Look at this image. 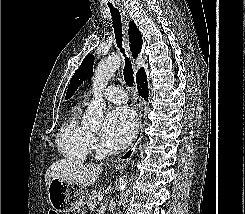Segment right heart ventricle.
<instances>
[{
  "mask_svg": "<svg viewBox=\"0 0 245 214\" xmlns=\"http://www.w3.org/2000/svg\"><path fill=\"white\" fill-rule=\"evenodd\" d=\"M80 113L81 105L75 106L56 138L57 147L63 157L74 162H83L90 148V134L79 121Z\"/></svg>",
  "mask_w": 245,
  "mask_h": 214,
  "instance_id": "1",
  "label": "right heart ventricle"
}]
</instances>
